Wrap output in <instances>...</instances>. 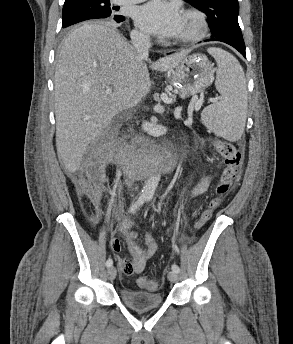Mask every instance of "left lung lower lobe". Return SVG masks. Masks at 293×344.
Masks as SVG:
<instances>
[{
  "mask_svg": "<svg viewBox=\"0 0 293 344\" xmlns=\"http://www.w3.org/2000/svg\"><path fill=\"white\" fill-rule=\"evenodd\" d=\"M214 40L222 41V42H225V43L233 46L235 49H237L246 58L245 44L244 45H242V44H234V43H231V42H227V41H223V40H218V39H208L206 41H214Z\"/></svg>",
  "mask_w": 293,
  "mask_h": 344,
  "instance_id": "0a47b994",
  "label": "left lung lower lobe"
}]
</instances>
